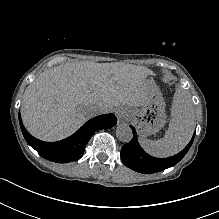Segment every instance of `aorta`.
I'll list each match as a JSON object with an SVG mask.
<instances>
[{
  "label": "aorta",
  "mask_w": 219,
  "mask_h": 219,
  "mask_svg": "<svg viewBox=\"0 0 219 219\" xmlns=\"http://www.w3.org/2000/svg\"><path fill=\"white\" fill-rule=\"evenodd\" d=\"M116 137L124 143H128L133 138L132 129L127 124L118 125L116 128Z\"/></svg>",
  "instance_id": "aorta-1"
}]
</instances>
